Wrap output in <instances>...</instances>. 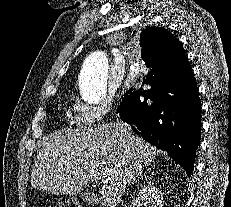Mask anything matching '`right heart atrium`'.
<instances>
[{
  "label": "right heart atrium",
  "mask_w": 231,
  "mask_h": 207,
  "mask_svg": "<svg viewBox=\"0 0 231 207\" xmlns=\"http://www.w3.org/2000/svg\"><path fill=\"white\" fill-rule=\"evenodd\" d=\"M113 107L112 98H105L96 104L76 101L74 120L79 127H93L102 121Z\"/></svg>",
  "instance_id": "d8ad5b80"
}]
</instances>
